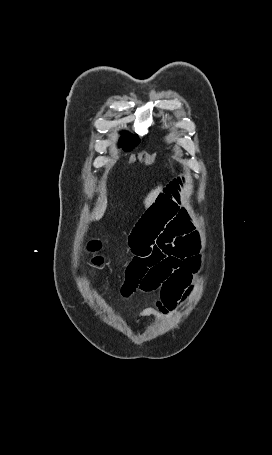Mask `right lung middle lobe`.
<instances>
[{
	"label": "right lung middle lobe",
	"mask_w": 272,
	"mask_h": 455,
	"mask_svg": "<svg viewBox=\"0 0 272 455\" xmlns=\"http://www.w3.org/2000/svg\"><path fill=\"white\" fill-rule=\"evenodd\" d=\"M140 142V139L136 135L124 133L123 138L120 141L121 147L124 151H131Z\"/></svg>",
	"instance_id": "right-lung-middle-lobe-1"
}]
</instances>
